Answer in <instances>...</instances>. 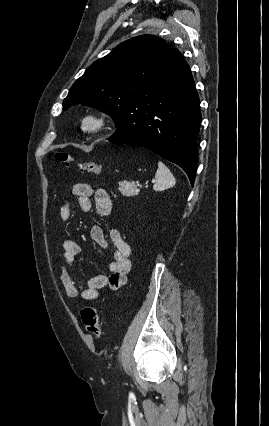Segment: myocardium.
<instances>
[{
  "mask_svg": "<svg viewBox=\"0 0 269 426\" xmlns=\"http://www.w3.org/2000/svg\"><path fill=\"white\" fill-rule=\"evenodd\" d=\"M109 123L108 116L102 112H89L82 121L81 127L88 133H97L104 130Z\"/></svg>",
  "mask_w": 269,
  "mask_h": 426,
  "instance_id": "obj_1",
  "label": "myocardium"
}]
</instances>
